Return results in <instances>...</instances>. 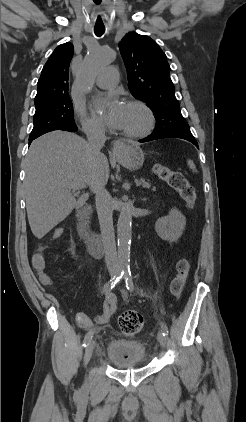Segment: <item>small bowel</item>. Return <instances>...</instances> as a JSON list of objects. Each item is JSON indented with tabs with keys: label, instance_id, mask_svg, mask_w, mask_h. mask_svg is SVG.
I'll use <instances>...</instances> for the list:
<instances>
[{
	"label": "small bowel",
	"instance_id": "small-bowel-1",
	"mask_svg": "<svg viewBox=\"0 0 246 422\" xmlns=\"http://www.w3.org/2000/svg\"><path fill=\"white\" fill-rule=\"evenodd\" d=\"M43 282L49 284L50 279L46 276H42ZM105 298L103 302L104 312L101 315L95 317H89L86 314L79 313L76 317L78 325L83 329H89L96 324H105L113 316L117 309V297L114 293H104Z\"/></svg>",
	"mask_w": 246,
	"mask_h": 422
}]
</instances>
